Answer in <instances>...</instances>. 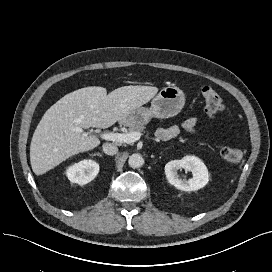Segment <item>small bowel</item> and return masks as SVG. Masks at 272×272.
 Returning a JSON list of instances; mask_svg holds the SVG:
<instances>
[{
  "mask_svg": "<svg viewBox=\"0 0 272 272\" xmlns=\"http://www.w3.org/2000/svg\"><path fill=\"white\" fill-rule=\"evenodd\" d=\"M197 125H198V119L195 117H192L185 120L183 124L181 125V127L178 125H172L165 128H159L156 131V136L159 140H162V141L170 140L176 137L180 133L181 129L189 133L196 132Z\"/></svg>",
  "mask_w": 272,
  "mask_h": 272,
  "instance_id": "1",
  "label": "small bowel"
}]
</instances>
